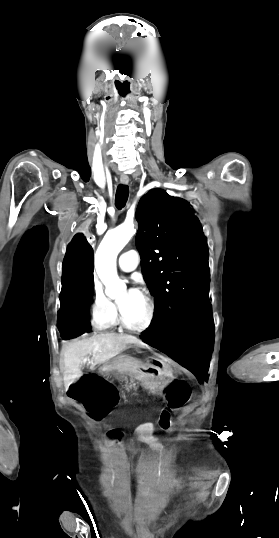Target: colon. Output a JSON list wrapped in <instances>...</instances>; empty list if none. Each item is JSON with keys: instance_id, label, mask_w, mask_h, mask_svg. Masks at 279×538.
<instances>
[{"instance_id": "5ec220e1", "label": "colon", "mask_w": 279, "mask_h": 538, "mask_svg": "<svg viewBox=\"0 0 279 538\" xmlns=\"http://www.w3.org/2000/svg\"><path fill=\"white\" fill-rule=\"evenodd\" d=\"M108 437L111 438V439H121L122 438V433L119 432V431H112L108 434Z\"/></svg>"}]
</instances>
